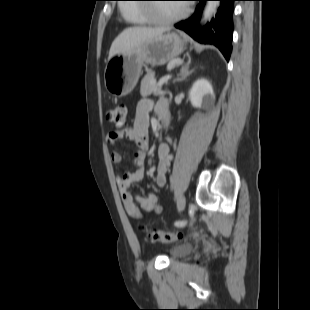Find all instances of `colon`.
Returning a JSON list of instances; mask_svg holds the SVG:
<instances>
[{
	"label": "colon",
	"mask_w": 310,
	"mask_h": 310,
	"mask_svg": "<svg viewBox=\"0 0 310 310\" xmlns=\"http://www.w3.org/2000/svg\"><path fill=\"white\" fill-rule=\"evenodd\" d=\"M107 121L114 125L119 130H124L127 126V107L125 104H118L115 107L109 109L106 114ZM140 230L144 232L148 238L153 242L169 243L176 241L182 237V233L164 232L157 230H150L141 225Z\"/></svg>",
	"instance_id": "5ec220e1"
}]
</instances>
